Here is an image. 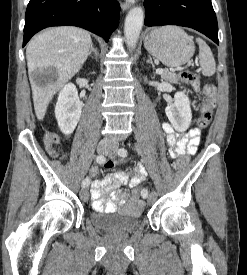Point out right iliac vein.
<instances>
[{"label": "right iliac vein", "mask_w": 247, "mask_h": 275, "mask_svg": "<svg viewBox=\"0 0 247 275\" xmlns=\"http://www.w3.org/2000/svg\"><path fill=\"white\" fill-rule=\"evenodd\" d=\"M109 151V142L106 140H102L97 145V152L100 154L107 153ZM80 197L83 201H88L89 192L87 188L83 187L80 191Z\"/></svg>", "instance_id": "1"}]
</instances>
